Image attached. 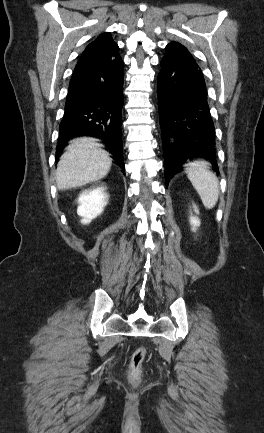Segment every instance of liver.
<instances>
[{
  "label": "liver",
  "mask_w": 264,
  "mask_h": 433,
  "mask_svg": "<svg viewBox=\"0 0 264 433\" xmlns=\"http://www.w3.org/2000/svg\"><path fill=\"white\" fill-rule=\"evenodd\" d=\"M111 165L109 153L95 139H75L58 162L57 188L67 190L98 181L107 175Z\"/></svg>",
  "instance_id": "1"
}]
</instances>
